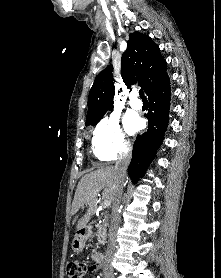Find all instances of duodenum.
Masks as SVG:
<instances>
[{
  "instance_id": "duodenum-1",
  "label": "duodenum",
  "mask_w": 221,
  "mask_h": 278,
  "mask_svg": "<svg viewBox=\"0 0 221 278\" xmlns=\"http://www.w3.org/2000/svg\"><path fill=\"white\" fill-rule=\"evenodd\" d=\"M86 234H87V229L86 228L81 229V231L79 232V239L83 240ZM93 257L95 261L94 264L95 269L96 270L100 269L102 267V264L104 263V255L101 252H95L93 254Z\"/></svg>"
}]
</instances>
